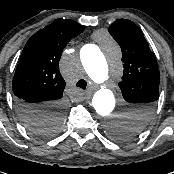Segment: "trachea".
Wrapping results in <instances>:
<instances>
[{"label":"trachea","mask_w":174,"mask_h":174,"mask_svg":"<svg viewBox=\"0 0 174 174\" xmlns=\"http://www.w3.org/2000/svg\"><path fill=\"white\" fill-rule=\"evenodd\" d=\"M76 86L85 90L87 86V82L84 79H81L77 82Z\"/></svg>","instance_id":"trachea-1"}]
</instances>
